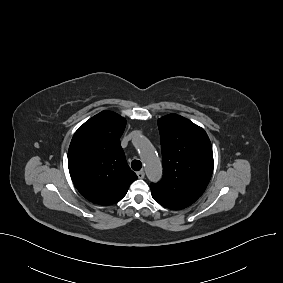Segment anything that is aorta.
<instances>
[{
	"instance_id": "obj_1",
	"label": "aorta",
	"mask_w": 283,
	"mask_h": 283,
	"mask_svg": "<svg viewBox=\"0 0 283 283\" xmlns=\"http://www.w3.org/2000/svg\"><path fill=\"white\" fill-rule=\"evenodd\" d=\"M134 145L140 150L148 179L151 182H158L162 175V168L158 155L151 147L149 141L145 137H137L134 139Z\"/></svg>"
}]
</instances>
